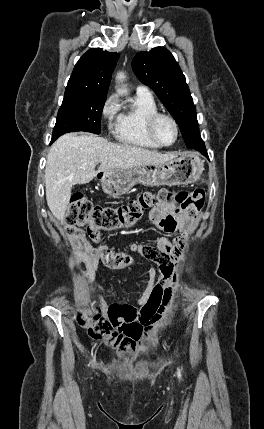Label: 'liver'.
I'll use <instances>...</instances> for the list:
<instances>
[{
  "label": "liver",
  "instance_id": "6515ba94",
  "mask_svg": "<svg viewBox=\"0 0 264 429\" xmlns=\"http://www.w3.org/2000/svg\"><path fill=\"white\" fill-rule=\"evenodd\" d=\"M177 157L145 148L110 143L93 134L67 133L51 146L45 168L46 200L53 216L62 221L76 184L89 183L99 171L163 164ZM100 164L98 171H95Z\"/></svg>",
  "mask_w": 264,
  "mask_h": 429
}]
</instances>
